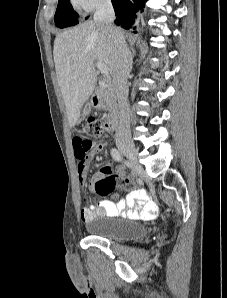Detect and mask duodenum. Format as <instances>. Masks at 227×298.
<instances>
[{
	"instance_id": "obj_1",
	"label": "duodenum",
	"mask_w": 227,
	"mask_h": 298,
	"mask_svg": "<svg viewBox=\"0 0 227 298\" xmlns=\"http://www.w3.org/2000/svg\"><path fill=\"white\" fill-rule=\"evenodd\" d=\"M92 104L97 108L111 107V112L104 121L105 129L112 132L118 124V109L114 104L112 94L107 89H97L92 96Z\"/></svg>"
}]
</instances>
